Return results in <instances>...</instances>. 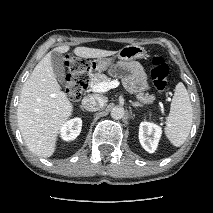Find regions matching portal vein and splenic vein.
<instances>
[{"instance_id": "18ae733b", "label": "portal vein and splenic vein", "mask_w": 213, "mask_h": 213, "mask_svg": "<svg viewBox=\"0 0 213 213\" xmlns=\"http://www.w3.org/2000/svg\"><path fill=\"white\" fill-rule=\"evenodd\" d=\"M119 81L118 80H113L110 82H101L98 84H95L91 87V91L94 93H104L107 92L110 89L116 88L119 86ZM160 107L162 108V104H160Z\"/></svg>"}]
</instances>
